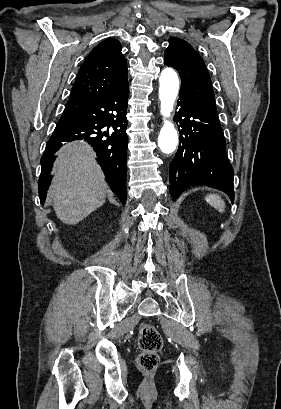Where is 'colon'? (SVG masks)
Segmentation results:
<instances>
[{
  "label": "colon",
  "instance_id": "colon-1",
  "mask_svg": "<svg viewBox=\"0 0 281 409\" xmlns=\"http://www.w3.org/2000/svg\"><path fill=\"white\" fill-rule=\"evenodd\" d=\"M163 338L159 332L151 325H141L138 337V345L141 354L138 356L139 366L146 371L154 370L158 367V353L163 348Z\"/></svg>",
  "mask_w": 281,
  "mask_h": 409
}]
</instances>
